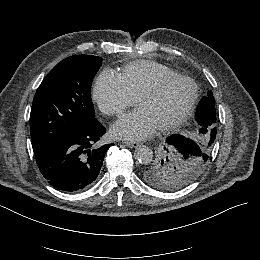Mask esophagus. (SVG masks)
Returning a JSON list of instances; mask_svg holds the SVG:
<instances>
[{
  "label": "esophagus",
  "instance_id": "34e87169",
  "mask_svg": "<svg viewBox=\"0 0 260 260\" xmlns=\"http://www.w3.org/2000/svg\"><path fill=\"white\" fill-rule=\"evenodd\" d=\"M123 144H125L128 147H139L140 144L133 141H124Z\"/></svg>",
  "mask_w": 260,
  "mask_h": 260
}]
</instances>
